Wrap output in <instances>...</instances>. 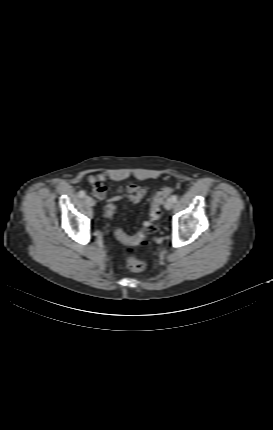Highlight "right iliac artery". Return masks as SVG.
Returning a JSON list of instances; mask_svg holds the SVG:
<instances>
[{"mask_svg": "<svg viewBox=\"0 0 273 430\" xmlns=\"http://www.w3.org/2000/svg\"><path fill=\"white\" fill-rule=\"evenodd\" d=\"M78 196L80 198L87 197L85 191H83V190L79 191Z\"/></svg>", "mask_w": 273, "mask_h": 430, "instance_id": "obj_1", "label": "right iliac artery"}]
</instances>
